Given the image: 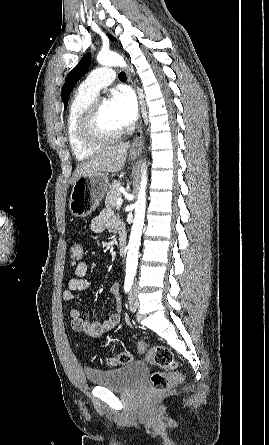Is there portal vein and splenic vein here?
<instances>
[{
	"instance_id": "1",
	"label": "portal vein and splenic vein",
	"mask_w": 269,
	"mask_h": 445,
	"mask_svg": "<svg viewBox=\"0 0 269 445\" xmlns=\"http://www.w3.org/2000/svg\"><path fill=\"white\" fill-rule=\"evenodd\" d=\"M122 202H123L122 198H118V199L116 200V205H117V206H121V205H122Z\"/></svg>"
}]
</instances>
